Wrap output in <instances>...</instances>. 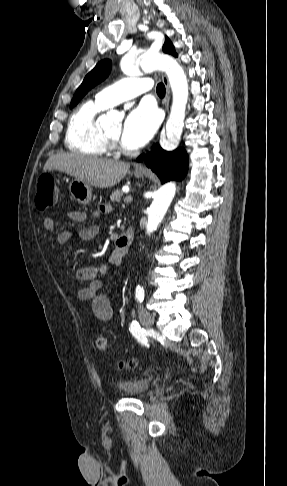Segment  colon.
<instances>
[{
    "instance_id": "colon-1",
    "label": "colon",
    "mask_w": 287,
    "mask_h": 486,
    "mask_svg": "<svg viewBox=\"0 0 287 486\" xmlns=\"http://www.w3.org/2000/svg\"><path fill=\"white\" fill-rule=\"evenodd\" d=\"M58 199V188L54 178L45 174L42 175L36 183L35 205L37 210L46 211L52 207ZM95 346L98 350L105 351L108 349V339L103 333H97L95 336ZM135 360L121 361L120 368H134Z\"/></svg>"
}]
</instances>
